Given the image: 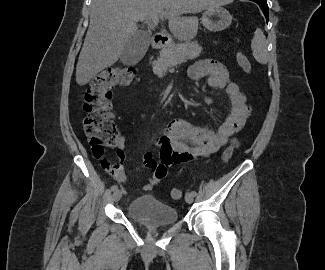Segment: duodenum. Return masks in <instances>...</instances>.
Segmentation results:
<instances>
[{"mask_svg":"<svg viewBox=\"0 0 325 270\" xmlns=\"http://www.w3.org/2000/svg\"><path fill=\"white\" fill-rule=\"evenodd\" d=\"M167 38L164 35V33H155L152 36V44L155 49H158L163 46V44L166 42Z\"/></svg>","mask_w":325,"mask_h":270,"instance_id":"duodenum-1","label":"duodenum"}]
</instances>
